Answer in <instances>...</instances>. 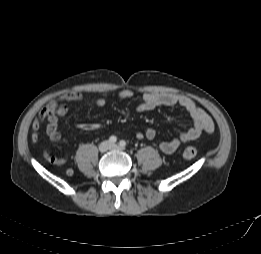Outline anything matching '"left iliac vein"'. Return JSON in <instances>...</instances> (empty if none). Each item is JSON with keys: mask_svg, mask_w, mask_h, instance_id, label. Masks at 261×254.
<instances>
[{"mask_svg": "<svg viewBox=\"0 0 261 254\" xmlns=\"http://www.w3.org/2000/svg\"><path fill=\"white\" fill-rule=\"evenodd\" d=\"M110 149H121V147L117 144H112Z\"/></svg>", "mask_w": 261, "mask_h": 254, "instance_id": "obj_1", "label": "left iliac vein"}]
</instances>
